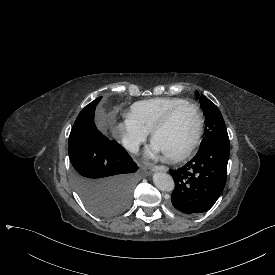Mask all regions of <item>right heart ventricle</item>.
<instances>
[{"label": "right heart ventricle", "mask_w": 275, "mask_h": 275, "mask_svg": "<svg viewBox=\"0 0 275 275\" xmlns=\"http://www.w3.org/2000/svg\"><path fill=\"white\" fill-rule=\"evenodd\" d=\"M184 102L185 99L172 97L140 101L130 107L127 117L149 133L172 107Z\"/></svg>", "instance_id": "1"}]
</instances>
